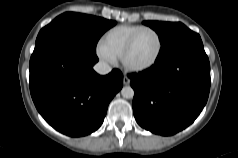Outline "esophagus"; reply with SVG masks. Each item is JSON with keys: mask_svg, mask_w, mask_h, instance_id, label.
I'll list each match as a JSON object with an SVG mask.
<instances>
[{"mask_svg": "<svg viewBox=\"0 0 238 158\" xmlns=\"http://www.w3.org/2000/svg\"><path fill=\"white\" fill-rule=\"evenodd\" d=\"M123 83H124V85H129L130 84V79L127 76H124Z\"/></svg>", "mask_w": 238, "mask_h": 158, "instance_id": "obj_1", "label": "esophagus"}]
</instances>
